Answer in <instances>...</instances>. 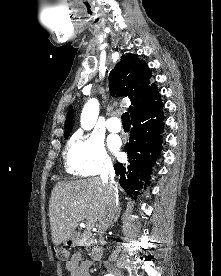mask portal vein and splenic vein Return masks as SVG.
I'll return each mask as SVG.
<instances>
[{
    "label": "portal vein and splenic vein",
    "instance_id": "obj_1",
    "mask_svg": "<svg viewBox=\"0 0 221 276\" xmlns=\"http://www.w3.org/2000/svg\"><path fill=\"white\" fill-rule=\"evenodd\" d=\"M91 224H92V223H88L87 227H91Z\"/></svg>",
    "mask_w": 221,
    "mask_h": 276
}]
</instances>
